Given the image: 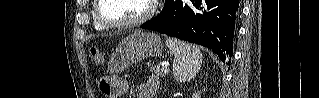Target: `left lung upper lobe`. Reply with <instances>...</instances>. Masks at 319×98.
<instances>
[{
  "instance_id": "5c2ea615",
  "label": "left lung upper lobe",
  "mask_w": 319,
  "mask_h": 98,
  "mask_svg": "<svg viewBox=\"0 0 319 98\" xmlns=\"http://www.w3.org/2000/svg\"><path fill=\"white\" fill-rule=\"evenodd\" d=\"M159 17H160V14L157 17L153 18L152 20L148 21L147 23L153 22V21L157 20Z\"/></svg>"
}]
</instances>
